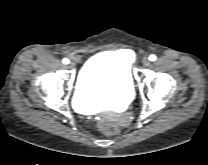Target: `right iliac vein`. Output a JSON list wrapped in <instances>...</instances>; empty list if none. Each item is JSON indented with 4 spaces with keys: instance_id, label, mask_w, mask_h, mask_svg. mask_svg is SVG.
Here are the masks:
<instances>
[{
    "instance_id": "obj_1",
    "label": "right iliac vein",
    "mask_w": 208,
    "mask_h": 165,
    "mask_svg": "<svg viewBox=\"0 0 208 165\" xmlns=\"http://www.w3.org/2000/svg\"><path fill=\"white\" fill-rule=\"evenodd\" d=\"M68 66H69V68L74 69L75 64H74L73 62H70V63L68 64Z\"/></svg>"
}]
</instances>
